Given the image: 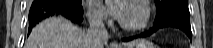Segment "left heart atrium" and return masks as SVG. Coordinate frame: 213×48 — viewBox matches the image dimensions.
Listing matches in <instances>:
<instances>
[{
	"label": "left heart atrium",
	"mask_w": 213,
	"mask_h": 48,
	"mask_svg": "<svg viewBox=\"0 0 213 48\" xmlns=\"http://www.w3.org/2000/svg\"><path fill=\"white\" fill-rule=\"evenodd\" d=\"M110 7L108 9L109 13L119 20H123L126 12V3L124 0H115L110 2Z\"/></svg>",
	"instance_id": "39dd6f15"
}]
</instances>
